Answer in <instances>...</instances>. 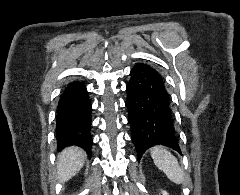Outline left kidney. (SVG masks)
Here are the masks:
<instances>
[{"mask_svg": "<svg viewBox=\"0 0 240 195\" xmlns=\"http://www.w3.org/2000/svg\"><path fill=\"white\" fill-rule=\"evenodd\" d=\"M163 195H169V193H167V191H162Z\"/></svg>", "mask_w": 240, "mask_h": 195, "instance_id": "obj_1", "label": "left kidney"}]
</instances>
